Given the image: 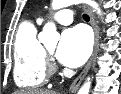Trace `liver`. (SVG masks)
<instances>
[{
	"mask_svg": "<svg viewBox=\"0 0 121 94\" xmlns=\"http://www.w3.org/2000/svg\"><path fill=\"white\" fill-rule=\"evenodd\" d=\"M14 94H58V92L51 90H22L17 91Z\"/></svg>",
	"mask_w": 121,
	"mask_h": 94,
	"instance_id": "1",
	"label": "liver"
}]
</instances>
